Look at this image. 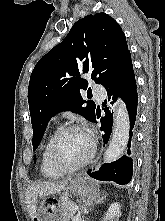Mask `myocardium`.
I'll return each mask as SVG.
<instances>
[{
  "label": "myocardium",
  "mask_w": 165,
  "mask_h": 221,
  "mask_svg": "<svg viewBox=\"0 0 165 221\" xmlns=\"http://www.w3.org/2000/svg\"><path fill=\"white\" fill-rule=\"evenodd\" d=\"M71 131L85 132L90 139L91 146H90V151H89L88 155L81 162H79L78 164H76L74 166L67 167V166H62L61 164L58 163V161L56 159L55 151H56L57 143L59 142L61 137ZM95 153H96V141H95L94 137L87 131V129L84 126L79 125V124L66 125V126L60 128L59 130H57L50 141L49 149H48V157H49V162H50L51 166L53 167L54 170H56L57 172H60L62 174L72 173V172L78 171L81 168L85 167L94 158Z\"/></svg>",
  "instance_id": "myocardium-1"
}]
</instances>
